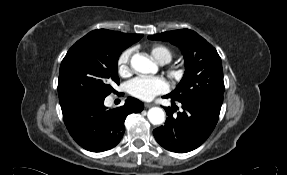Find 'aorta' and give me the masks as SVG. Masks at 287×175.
I'll return each mask as SVG.
<instances>
[{
    "label": "aorta",
    "instance_id": "aorta-1",
    "mask_svg": "<svg viewBox=\"0 0 287 175\" xmlns=\"http://www.w3.org/2000/svg\"><path fill=\"white\" fill-rule=\"evenodd\" d=\"M131 67L143 74L155 73L157 66L148 57L135 54L131 58ZM147 117L153 125H160L165 121V113L160 107H152L148 110Z\"/></svg>",
    "mask_w": 287,
    "mask_h": 175
}]
</instances>
